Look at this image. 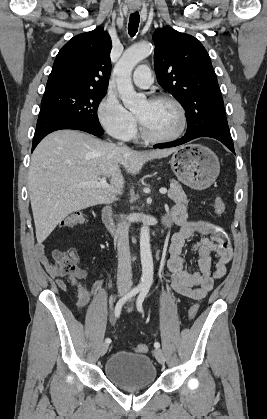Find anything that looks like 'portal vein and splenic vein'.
I'll list each match as a JSON object with an SVG mask.
<instances>
[{"label": "portal vein and splenic vein", "instance_id": "1", "mask_svg": "<svg viewBox=\"0 0 267 419\" xmlns=\"http://www.w3.org/2000/svg\"><path fill=\"white\" fill-rule=\"evenodd\" d=\"M81 186L92 187V188H101V189H109L111 190L112 187L107 183L105 177L101 178L99 181H90V182H83ZM161 194H166L167 189L161 188L159 190Z\"/></svg>", "mask_w": 267, "mask_h": 419}]
</instances>
